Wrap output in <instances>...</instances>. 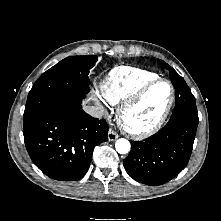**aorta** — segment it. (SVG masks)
Instances as JSON below:
<instances>
[{"mask_svg": "<svg viewBox=\"0 0 221 221\" xmlns=\"http://www.w3.org/2000/svg\"><path fill=\"white\" fill-rule=\"evenodd\" d=\"M116 151L120 154H126L130 151L131 145L127 139H118L115 143Z\"/></svg>", "mask_w": 221, "mask_h": 221, "instance_id": "aorta-1", "label": "aorta"}]
</instances>
